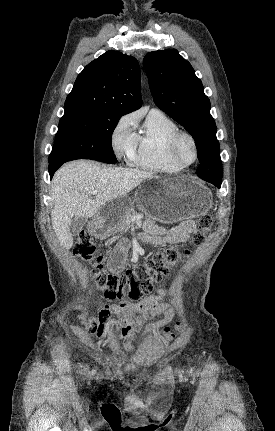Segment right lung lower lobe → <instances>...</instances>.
I'll return each instance as SVG.
<instances>
[{
    "label": "right lung lower lobe",
    "instance_id": "1",
    "mask_svg": "<svg viewBox=\"0 0 275 431\" xmlns=\"http://www.w3.org/2000/svg\"><path fill=\"white\" fill-rule=\"evenodd\" d=\"M65 162H58V163H53V164H49V174H50V178H52V176L54 175V172Z\"/></svg>",
    "mask_w": 275,
    "mask_h": 431
}]
</instances>
